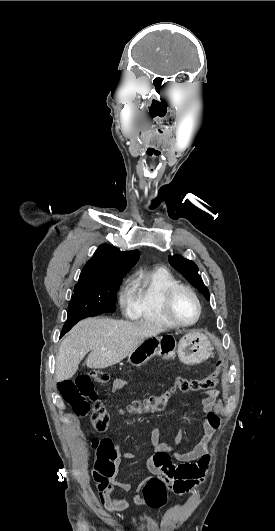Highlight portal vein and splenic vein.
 Listing matches in <instances>:
<instances>
[{
    "mask_svg": "<svg viewBox=\"0 0 275 531\" xmlns=\"http://www.w3.org/2000/svg\"><path fill=\"white\" fill-rule=\"evenodd\" d=\"M101 351H107V349H105V347H102Z\"/></svg>",
    "mask_w": 275,
    "mask_h": 531,
    "instance_id": "portal-vein-and-splenic-vein-1",
    "label": "portal vein and splenic vein"
}]
</instances>
